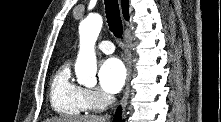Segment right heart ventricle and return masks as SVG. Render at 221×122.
<instances>
[{"instance_id":"obj_1","label":"right heart ventricle","mask_w":221,"mask_h":122,"mask_svg":"<svg viewBox=\"0 0 221 122\" xmlns=\"http://www.w3.org/2000/svg\"><path fill=\"white\" fill-rule=\"evenodd\" d=\"M51 106L65 116H78L88 109L84 99V89L72 78L69 62L56 71L50 87Z\"/></svg>"}]
</instances>
